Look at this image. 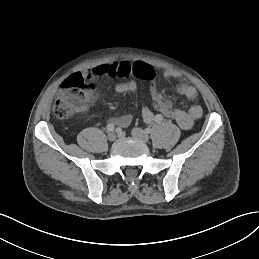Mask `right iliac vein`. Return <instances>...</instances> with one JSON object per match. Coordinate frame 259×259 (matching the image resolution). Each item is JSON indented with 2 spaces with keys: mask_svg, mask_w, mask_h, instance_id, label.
<instances>
[{
  "mask_svg": "<svg viewBox=\"0 0 259 259\" xmlns=\"http://www.w3.org/2000/svg\"><path fill=\"white\" fill-rule=\"evenodd\" d=\"M107 138L109 141H114L116 139V134L114 132H109Z\"/></svg>",
  "mask_w": 259,
  "mask_h": 259,
  "instance_id": "63e3f726",
  "label": "right iliac vein"
}]
</instances>
